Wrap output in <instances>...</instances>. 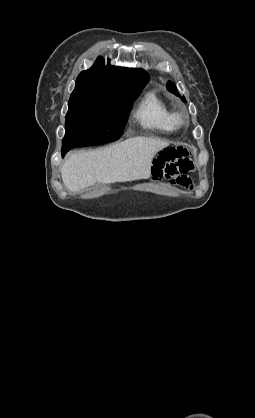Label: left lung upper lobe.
<instances>
[{
  "label": "left lung upper lobe",
  "instance_id": "5c2ea615",
  "mask_svg": "<svg viewBox=\"0 0 255 418\" xmlns=\"http://www.w3.org/2000/svg\"><path fill=\"white\" fill-rule=\"evenodd\" d=\"M166 88H167V90H169V91H170L171 93H173L174 95H176V96L180 97V94L178 93V91H177V89H176V86H175V85H174L171 81H168V82H167ZM181 100H182L183 102H185V103L187 102L184 96H183V97H181Z\"/></svg>",
  "mask_w": 255,
  "mask_h": 418
}]
</instances>
